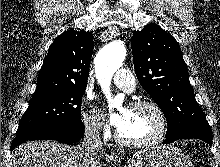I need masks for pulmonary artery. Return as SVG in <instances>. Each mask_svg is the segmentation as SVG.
<instances>
[{"mask_svg":"<svg viewBox=\"0 0 220 167\" xmlns=\"http://www.w3.org/2000/svg\"><path fill=\"white\" fill-rule=\"evenodd\" d=\"M113 82L118 88L128 93L133 92L136 87L134 76L125 68L117 70L113 76Z\"/></svg>","mask_w":220,"mask_h":167,"instance_id":"obj_1","label":"pulmonary artery"}]
</instances>
